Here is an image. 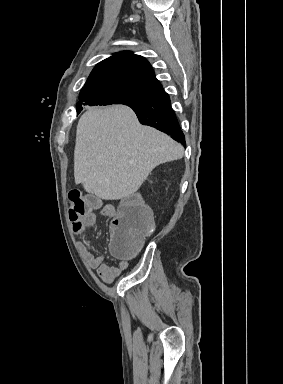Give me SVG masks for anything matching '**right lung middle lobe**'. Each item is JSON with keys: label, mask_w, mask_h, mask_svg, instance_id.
<instances>
[{"label": "right lung middle lobe", "mask_w": 283, "mask_h": 384, "mask_svg": "<svg viewBox=\"0 0 283 384\" xmlns=\"http://www.w3.org/2000/svg\"><path fill=\"white\" fill-rule=\"evenodd\" d=\"M158 92L118 84H102L82 88L77 103V114L83 109L82 105H111L124 104L143 106L151 103Z\"/></svg>", "instance_id": "1"}]
</instances>
